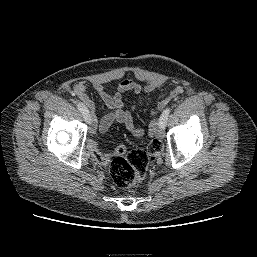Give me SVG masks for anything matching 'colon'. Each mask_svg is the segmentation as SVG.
Segmentation results:
<instances>
[{"mask_svg":"<svg viewBox=\"0 0 257 257\" xmlns=\"http://www.w3.org/2000/svg\"><path fill=\"white\" fill-rule=\"evenodd\" d=\"M89 149L98 162L106 160L94 143L90 144ZM160 152L161 144L157 140H153L147 149L128 151L124 145L117 146L110 166L114 184L119 188H129L140 183L145 177L149 164Z\"/></svg>","mask_w":257,"mask_h":257,"instance_id":"obj_1","label":"colon"}]
</instances>
